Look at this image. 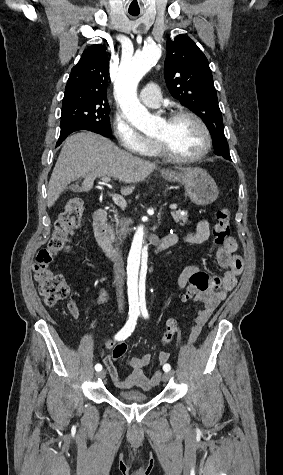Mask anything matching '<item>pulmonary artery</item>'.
<instances>
[{
    "label": "pulmonary artery",
    "instance_id": "1",
    "mask_svg": "<svg viewBox=\"0 0 283 475\" xmlns=\"http://www.w3.org/2000/svg\"><path fill=\"white\" fill-rule=\"evenodd\" d=\"M156 84L151 82L146 84L139 91L140 100L151 107H158L162 101V89L160 87H155ZM114 90H137V89H114Z\"/></svg>",
    "mask_w": 283,
    "mask_h": 475
}]
</instances>
